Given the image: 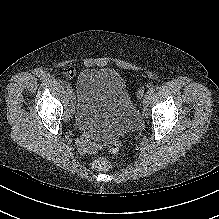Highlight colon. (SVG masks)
I'll return each mask as SVG.
<instances>
[{
    "label": "colon",
    "mask_w": 219,
    "mask_h": 219,
    "mask_svg": "<svg viewBox=\"0 0 219 219\" xmlns=\"http://www.w3.org/2000/svg\"><path fill=\"white\" fill-rule=\"evenodd\" d=\"M73 74H74L73 68L66 67L64 69V76H66L67 78H71L73 76ZM121 145H122V140L121 139L113 140L109 145V152L111 154H114V153L118 152ZM93 167L97 170H100V171H106V170H108L112 167V163L110 161H108L107 159H105V158H97L93 162Z\"/></svg>",
    "instance_id": "colon-1"
}]
</instances>
